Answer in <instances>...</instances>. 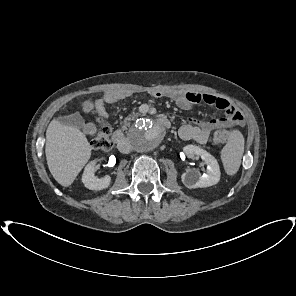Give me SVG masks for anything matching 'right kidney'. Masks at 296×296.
Wrapping results in <instances>:
<instances>
[{
    "label": "right kidney",
    "instance_id": "ca27d5eb",
    "mask_svg": "<svg viewBox=\"0 0 296 296\" xmlns=\"http://www.w3.org/2000/svg\"><path fill=\"white\" fill-rule=\"evenodd\" d=\"M96 161L89 162L83 172L82 182L84 186L90 190H102L107 188L111 183V177L106 175L102 178H98L95 175Z\"/></svg>",
    "mask_w": 296,
    "mask_h": 296
}]
</instances>
